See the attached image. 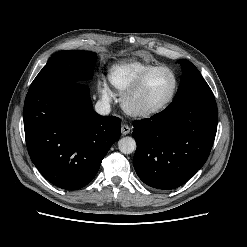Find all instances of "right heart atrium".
Wrapping results in <instances>:
<instances>
[{"label":"right heart atrium","mask_w":247,"mask_h":247,"mask_svg":"<svg viewBox=\"0 0 247 247\" xmlns=\"http://www.w3.org/2000/svg\"><path fill=\"white\" fill-rule=\"evenodd\" d=\"M100 93L103 99L109 101L114 97V93L109 88V86L106 83H102L100 87Z\"/></svg>","instance_id":"obj_1"}]
</instances>
